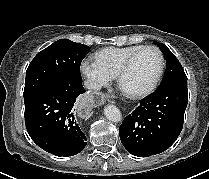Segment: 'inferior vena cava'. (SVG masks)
Returning a JSON list of instances; mask_svg holds the SVG:
<instances>
[{"instance_id":"1","label":"inferior vena cava","mask_w":209,"mask_h":179,"mask_svg":"<svg viewBox=\"0 0 209 179\" xmlns=\"http://www.w3.org/2000/svg\"><path fill=\"white\" fill-rule=\"evenodd\" d=\"M84 86L87 89H95V90H98L100 88L99 84H97L96 82L90 81V80H86L84 82Z\"/></svg>"}]
</instances>
